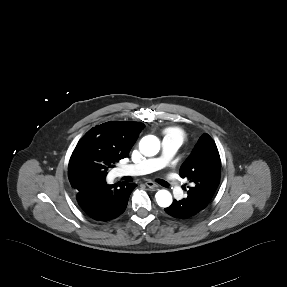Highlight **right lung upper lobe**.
Listing matches in <instances>:
<instances>
[{
    "mask_svg": "<svg viewBox=\"0 0 287 287\" xmlns=\"http://www.w3.org/2000/svg\"><path fill=\"white\" fill-rule=\"evenodd\" d=\"M144 124L140 122L110 121L90 129L78 142L71 158L78 154H101L116 162L128 157ZM75 190L78 181H70Z\"/></svg>",
    "mask_w": 287,
    "mask_h": 287,
    "instance_id": "cb5924a9",
    "label": "right lung upper lobe"
}]
</instances>
